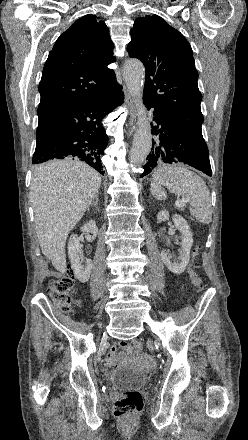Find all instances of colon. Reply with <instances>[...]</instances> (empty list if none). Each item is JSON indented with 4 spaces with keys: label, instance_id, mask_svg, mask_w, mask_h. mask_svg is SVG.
Wrapping results in <instances>:
<instances>
[{
    "label": "colon",
    "instance_id": "colon-1",
    "mask_svg": "<svg viewBox=\"0 0 248 440\" xmlns=\"http://www.w3.org/2000/svg\"><path fill=\"white\" fill-rule=\"evenodd\" d=\"M199 247H195L192 250V263L198 254ZM189 275L192 283L200 288L202 281L200 277L195 273L194 266L189 268ZM75 276L71 268H68L66 274L56 280L51 281L49 286V293L52 297L57 308L63 312L68 313L72 306V291L74 289ZM143 344L141 341H134L127 349H134L136 351L141 350ZM143 408V398L138 391H127L121 398L116 400L113 404V413L117 418H127L138 414Z\"/></svg>",
    "mask_w": 248,
    "mask_h": 440
}]
</instances>
